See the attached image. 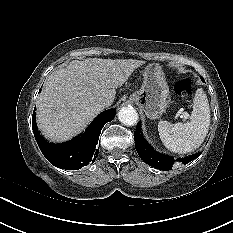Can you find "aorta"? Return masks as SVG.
Masks as SVG:
<instances>
[{
    "label": "aorta",
    "mask_w": 233,
    "mask_h": 233,
    "mask_svg": "<svg viewBox=\"0 0 233 233\" xmlns=\"http://www.w3.org/2000/svg\"><path fill=\"white\" fill-rule=\"evenodd\" d=\"M118 119L127 126H133L138 121V113L133 107H123L118 112Z\"/></svg>",
    "instance_id": "obj_1"
}]
</instances>
